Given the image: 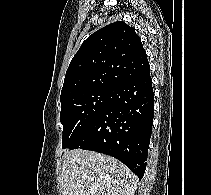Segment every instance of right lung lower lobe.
<instances>
[{
	"label": "right lung lower lobe",
	"mask_w": 211,
	"mask_h": 195,
	"mask_svg": "<svg viewBox=\"0 0 211 195\" xmlns=\"http://www.w3.org/2000/svg\"><path fill=\"white\" fill-rule=\"evenodd\" d=\"M153 115L149 71L113 86L103 111L69 149L110 155L141 179L146 169Z\"/></svg>",
	"instance_id": "1"
}]
</instances>
